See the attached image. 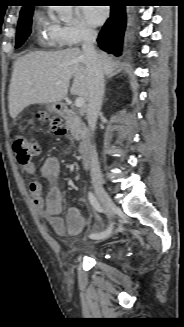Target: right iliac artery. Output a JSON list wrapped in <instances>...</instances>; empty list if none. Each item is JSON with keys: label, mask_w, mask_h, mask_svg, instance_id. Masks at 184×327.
<instances>
[{"label": "right iliac artery", "mask_w": 184, "mask_h": 327, "mask_svg": "<svg viewBox=\"0 0 184 327\" xmlns=\"http://www.w3.org/2000/svg\"><path fill=\"white\" fill-rule=\"evenodd\" d=\"M88 199L90 201V204L93 206V208L96 211L101 212V213L104 212L103 207L97 201L95 195L92 192H89L88 193ZM112 229H113V223H111L109 225V227L107 228V230H105L103 232L90 234V238H92V239H103V238H106L107 236H109L111 234Z\"/></svg>", "instance_id": "1"}]
</instances>
